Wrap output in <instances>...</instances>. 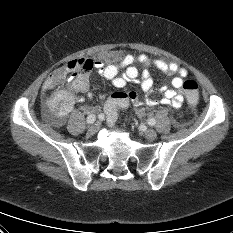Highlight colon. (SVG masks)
I'll return each instance as SVG.
<instances>
[{
    "label": "colon",
    "instance_id": "5ec220e1",
    "mask_svg": "<svg viewBox=\"0 0 233 233\" xmlns=\"http://www.w3.org/2000/svg\"><path fill=\"white\" fill-rule=\"evenodd\" d=\"M93 68V62L88 59H75L50 75V82L46 92L54 89L59 83L65 79H78L90 73ZM188 103L195 106L198 102V85L194 80L188 79L183 82L182 86ZM129 105V95L127 92H114L107 101L104 109L105 120L109 126L114 125L118 115Z\"/></svg>",
    "mask_w": 233,
    "mask_h": 233
}]
</instances>
